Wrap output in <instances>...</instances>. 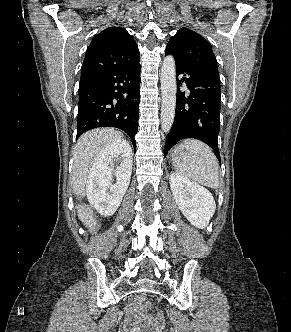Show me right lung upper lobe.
Returning a JSON list of instances; mask_svg holds the SVG:
<instances>
[{"instance_id": "1", "label": "right lung upper lobe", "mask_w": 291, "mask_h": 332, "mask_svg": "<svg viewBox=\"0 0 291 332\" xmlns=\"http://www.w3.org/2000/svg\"><path fill=\"white\" fill-rule=\"evenodd\" d=\"M139 58L138 47L121 27H109L95 35L86 51L81 75L130 64Z\"/></svg>"}]
</instances>
